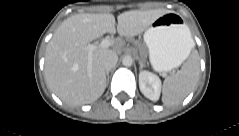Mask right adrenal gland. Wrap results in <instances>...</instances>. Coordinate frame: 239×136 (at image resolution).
Here are the masks:
<instances>
[{
    "instance_id": "1",
    "label": "right adrenal gland",
    "mask_w": 239,
    "mask_h": 136,
    "mask_svg": "<svg viewBox=\"0 0 239 136\" xmlns=\"http://www.w3.org/2000/svg\"><path fill=\"white\" fill-rule=\"evenodd\" d=\"M109 73H110V70H107V71H106V77H107L106 82H107V84H108V81H109Z\"/></svg>"
}]
</instances>
